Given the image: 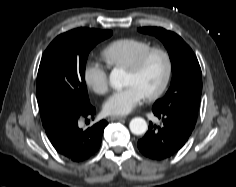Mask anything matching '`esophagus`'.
I'll use <instances>...</instances> for the list:
<instances>
[{
	"label": "esophagus",
	"instance_id": "esophagus-1",
	"mask_svg": "<svg viewBox=\"0 0 236 187\" xmlns=\"http://www.w3.org/2000/svg\"><path fill=\"white\" fill-rule=\"evenodd\" d=\"M110 119H111L112 121H114V120L126 119V117H125V116H112Z\"/></svg>",
	"mask_w": 236,
	"mask_h": 187
}]
</instances>
